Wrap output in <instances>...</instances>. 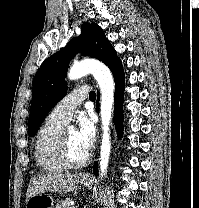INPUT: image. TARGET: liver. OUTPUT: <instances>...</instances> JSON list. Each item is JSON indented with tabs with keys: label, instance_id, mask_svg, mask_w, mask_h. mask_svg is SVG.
Masks as SVG:
<instances>
[{
	"label": "liver",
	"instance_id": "obj_1",
	"mask_svg": "<svg viewBox=\"0 0 199 208\" xmlns=\"http://www.w3.org/2000/svg\"><path fill=\"white\" fill-rule=\"evenodd\" d=\"M78 174H46L33 177L28 185L26 193V202L32 196L38 193L55 192L68 193L75 189L79 183Z\"/></svg>",
	"mask_w": 199,
	"mask_h": 208
}]
</instances>
